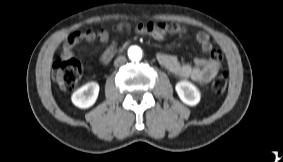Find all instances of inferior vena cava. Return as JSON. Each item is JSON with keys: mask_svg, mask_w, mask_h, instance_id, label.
<instances>
[{"mask_svg": "<svg viewBox=\"0 0 283 162\" xmlns=\"http://www.w3.org/2000/svg\"><path fill=\"white\" fill-rule=\"evenodd\" d=\"M126 62V58L124 56H118L114 61V66L119 67Z\"/></svg>", "mask_w": 283, "mask_h": 162, "instance_id": "1", "label": "inferior vena cava"}]
</instances>
